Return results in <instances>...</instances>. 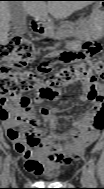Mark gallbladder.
<instances>
[{"label":"gallbladder","instance_id":"bac80fb5","mask_svg":"<svg viewBox=\"0 0 104 189\" xmlns=\"http://www.w3.org/2000/svg\"><path fill=\"white\" fill-rule=\"evenodd\" d=\"M10 15H11V23L14 26L13 30L16 34L22 35L27 31L26 25V12L23 9L20 2H11L8 6Z\"/></svg>","mask_w":104,"mask_h":189}]
</instances>
